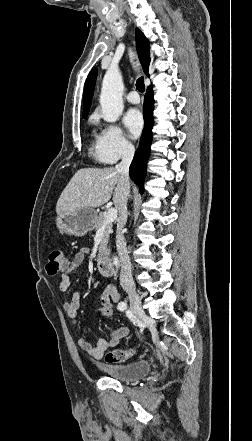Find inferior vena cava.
<instances>
[{
	"instance_id": "602c4592",
	"label": "inferior vena cava",
	"mask_w": 252,
	"mask_h": 441,
	"mask_svg": "<svg viewBox=\"0 0 252 441\" xmlns=\"http://www.w3.org/2000/svg\"><path fill=\"white\" fill-rule=\"evenodd\" d=\"M135 149L133 146H127L122 155V161L115 166L123 182V196L121 198L118 211L119 218L116 231V247L121 262L120 282L122 287L130 292L134 291V281L131 271V262L126 248L123 229L127 221V200L129 196V167L133 159Z\"/></svg>"
}]
</instances>
